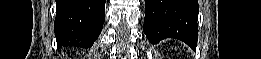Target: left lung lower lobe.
Instances as JSON below:
<instances>
[{"label":"left lung lower lobe","mask_w":261,"mask_h":59,"mask_svg":"<svg viewBox=\"0 0 261 59\" xmlns=\"http://www.w3.org/2000/svg\"><path fill=\"white\" fill-rule=\"evenodd\" d=\"M198 8L197 0H146L144 33L152 44L175 38L195 50Z\"/></svg>","instance_id":"0a47b994"}]
</instances>
